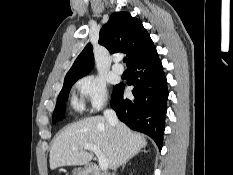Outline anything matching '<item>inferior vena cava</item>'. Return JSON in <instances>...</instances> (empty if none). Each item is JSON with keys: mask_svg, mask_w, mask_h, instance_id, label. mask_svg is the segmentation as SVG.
Returning <instances> with one entry per match:
<instances>
[{"mask_svg": "<svg viewBox=\"0 0 233 175\" xmlns=\"http://www.w3.org/2000/svg\"><path fill=\"white\" fill-rule=\"evenodd\" d=\"M104 117L114 127L115 130H118L119 121L114 110L106 109L104 111Z\"/></svg>", "mask_w": 233, "mask_h": 175, "instance_id": "1", "label": "inferior vena cava"}]
</instances>
